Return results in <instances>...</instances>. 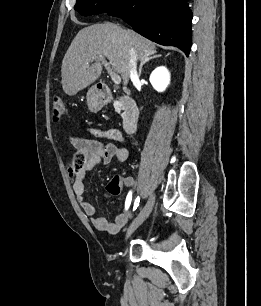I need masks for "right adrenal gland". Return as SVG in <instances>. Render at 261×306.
Returning a JSON list of instances; mask_svg holds the SVG:
<instances>
[{"instance_id": "1", "label": "right adrenal gland", "mask_w": 261, "mask_h": 306, "mask_svg": "<svg viewBox=\"0 0 261 306\" xmlns=\"http://www.w3.org/2000/svg\"><path fill=\"white\" fill-rule=\"evenodd\" d=\"M159 57H161V55H154V56H152V57H148V58L142 59V60H141V64H140V66H139V76H141V74H142L143 65H145V64H146L147 62H149L150 60L155 59V58H159Z\"/></svg>"}]
</instances>
